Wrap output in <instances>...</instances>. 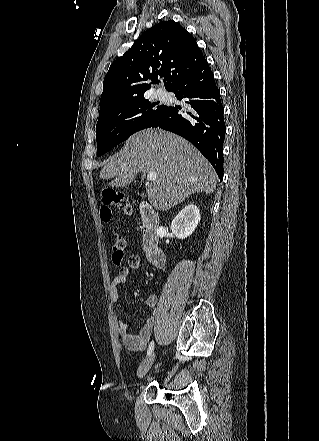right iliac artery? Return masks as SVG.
I'll list each match as a JSON object with an SVG mask.
<instances>
[{
  "label": "right iliac artery",
  "instance_id": "82829eb1",
  "mask_svg": "<svg viewBox=\"0 0 319 441\" xmlns=\"http://www.w3.org/2000/svg\"><path fill=\"white\" fill-rule=\"evenodd\" d=\"M153 350H154V341H151L150 344H149L148 350H147V355L148 356L151 355Z\"/></svg>",
  "mask_w": 319,
  "mask_h": 441
}]
</instances>
